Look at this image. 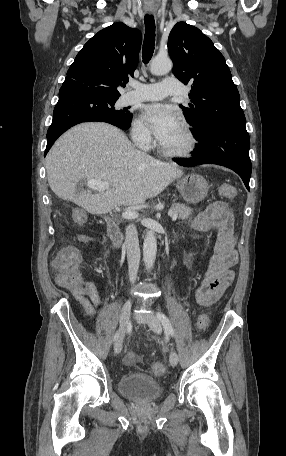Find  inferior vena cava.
I'll return each instance as SVG.
<instances>
[{"instance_id": "obj_1", "label": "inferior vena cava", "mask_w": 286, "mask_h": 456, "mask_svg": "<svg viewBox=\"0 0 286 456\" xmlns=\"http://www.w3.org/2000/svg\"><path fill=\"white\" fill-rule=\"evenodd\" d=\"M125 246L127 250L129 280L133 284L136 281L140 262L138 232L134 224H130L126 228Z\"/></svg>"}]
</instances>
